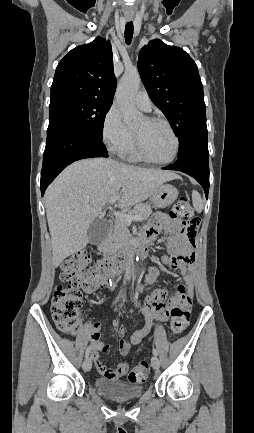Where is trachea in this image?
I'll return each mask as SVG.
<instances>
[{"instance_id": "trachea-1", "label": "trachea", "mask_w": 254, "mask_h": 433, "mask_svg": "<svg viewBox=\"0 0 254 433\" xmlns=\"http://www.w3.org/2000/svg\"><path fill=\"white\" fill-rule=\"evenodd\" d=\"M132 37H133V23L132 21L126 23L125 26V41L126 44H130L132 41Z\"/></svg>"}]
</instances>
